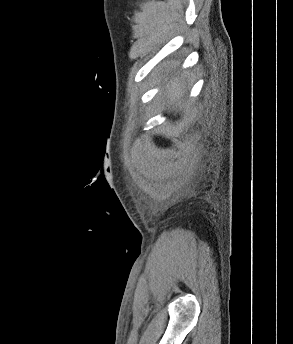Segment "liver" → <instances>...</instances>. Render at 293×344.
I'll use <instances>...</instances> for the list:
<instances>
[{
    "label": "liver",
    "instance_id": "1",
    "mask_svg": "<svg viewBox=\"0 0 293 344\" xmlns=\"http://www.w3.org/2000/svg\"><path fill=\"white\" fill-rule=\"evenodd\" d=\"M184 96V88L181 85V81L177 77H172L167 84V98L170 100V104L177 106L181 103Z\"/></svg>",
    "mask_w": 293,
    "mask_h": 344
}]
</instances>
